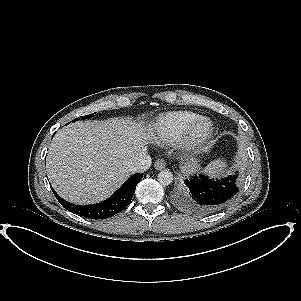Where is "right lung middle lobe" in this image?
Masks as SVG:
<instances>
[{"label":"right lung middle lobe","instance_id":"dd1d6c3e","mask_svg":"<svg viewBox=\"0 0 301 301\" xmlns=\"http://www.w3.org/2000/svg\"><path fill=\"white\" fill-rule=\"evenodd\" d=\"M94 116V113L93 114H89V115H86V116H82L80 117L81 119H86V118H92Z\"/></svg>","mask_w":301,"mask_h":301}]
</instances>
